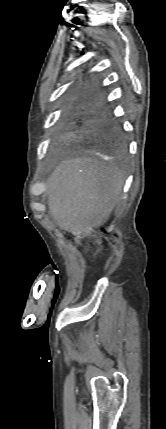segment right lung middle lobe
Returning a JSON list of instances; mask_svg holds the SVG:
<instances>
[{
  "instance_id": "1",
  "label": "right lung middle lobe",
  "mask_w": 166,
  "mask_h": 429,
  "mask_svg": "<svg viewBox=\"0 0 166 429\" xmlns=\"http://www.w3.org/2000/svg\"><path fill=\"white\" fill-rule=\"evenodd\" d=\"M122 134L120 130H115L110 134V136L106 139L111 142V145L115 148H119L122 143Z\"/></svg>"
}]
</instances>
